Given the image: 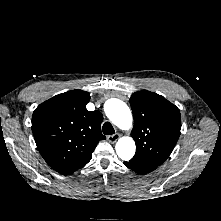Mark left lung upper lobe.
Listing matches in <instances>:
<instances>
[{"label": "left lung upper lobe", "instance_id": "obj_1", "mask_svg": "<svg viewBox=\"0 0 221 221\" xmlns=\"http://www.w3.org/2000/svg\"><path fill=\"white\" fill-rule=\"evenodd\" d=\"M134 116L131 133L136 143V161L159 166L171 154L181 129L179 109L163 96L150 91L131 95Z\"/></svg>", "mask_w": 221, "mask_h": 221}]
</instances>
